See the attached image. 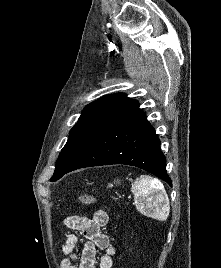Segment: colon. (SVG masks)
Segmentation results:
<instances>
[{
    "label": "colon",
    "instance_id": "obj_1",
    "mask_svg": "<svg viewBox=\"0 0 221 268\" xmlns=\"http://www.w3.org/2000/svg\"><path fill=\"white\" fill-rule=\"evenodd\" d=\"M79 203L87 205L95 201V198L91 195H83L78 198Z\"/></svg>",
    "mask_w": 221,
    "mask_h": 268
}]
</instances>
